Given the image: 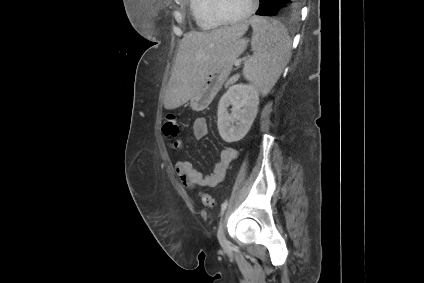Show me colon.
<instances>
[{
	"label": "colon",
	"instance_id": "5ec220e1",
	"mask_svg": "<svg viewBox=\"0 0 424 283\" xmlns=\"http://www.w3.org/2000/svg\"><path fill=\"white\" fill-rule=\"evenodd\" d=\"M179 131H180V125H179L177 117L173 114L166 115L162 125V132L167 138L173 140V146L176 148L180 146L179 141L176 140L179 134ZM200 199L206 207L208 208L214 207V200L211 195L207 193H200Z\"/></svg>",
	"mask_w": 424,
	"mask_h": 283
}]
</instances>
